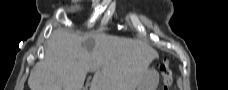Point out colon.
<instances>
[{
    "instance_id": "obj_1",
    "label": "colon",
    "mask_w": 228,
    "mask_h": 90,
    "mask_svg": "<svg viewBox=\"0 0 228 90\" xmlns=\"http://www.w3.org/2000/svg\"><path fill=\"white\" fill-rule=\"evenodd\" d=\"M160 73L163 81V89L170 90L173 83L172 71L170 69L169 61L163 60L159 66Z\"/></svg>"
}]
</instances>
